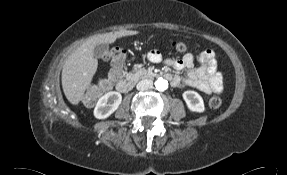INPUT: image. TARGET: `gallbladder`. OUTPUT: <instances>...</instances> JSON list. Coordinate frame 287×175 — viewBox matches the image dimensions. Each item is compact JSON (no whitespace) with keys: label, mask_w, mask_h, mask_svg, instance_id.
Wrapping results in <instances>:
<instances>
[{"label":"gallbladder","mask_w":287,"mask_h":175,"mask_svg":"<svg viewBox=\"0 0 287 175\" xmlns=\"http://www.w3.org/2000/svg\"><path fill=\"white\" fill-rule=\"evenodd\" d=\"M105 51H106L105 47L98 45L95 49L96 57H98V58L102 57V55L104 54Z\"/></svg>","instance_id":"1"}]
</instances>
